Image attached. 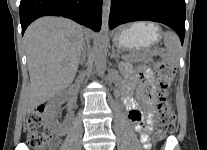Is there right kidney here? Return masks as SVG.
<instances>
[{"label":"right kidney","mask_w":207,"mask_h":150,"mask_svg":"<svg viewBox=\"0 0 207 150\" xmlns=\"http://www.w3.org/2000/svg\"><path fill=\"white\" fill-rule=\"evenodd\" d=\"M67 100L66 92H59L53 98H51L46 107H45V117L48 123L49 128L54 133H59V123L56 120L57 114L59 112V108L63 102Z\"/></svg>","instance_id":"1"}]
</instances>
